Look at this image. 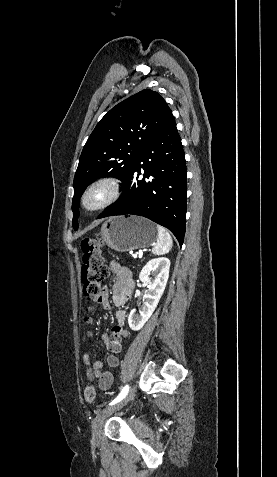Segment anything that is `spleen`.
Returning a JSON list of instances; mask_svg holds the SVG:
<instances>
[{
  "label": "spleen",
  "mask_w": 277,
  "mask_h": 477,
  "mask_svg": "<svg viewBox=\"0 0 277 477\" xmlns=\"http://www.w3.org/2000/svg\"><path fill=\"white\" fill-rule=\"evenodd\" d=\"M158 238L157 243L152 249V253L155 255H163L168 253L173 245L172 238L165 228L157 225Z\"/></svg>",
  "instance_id": "3e777b00"
}]
</instances>
